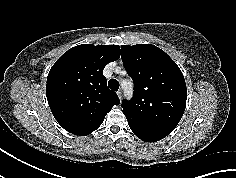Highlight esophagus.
<instances>
[{
    "label": "esophagus",
    "mask_w": 236,
    "mask_h": 178,
    "mask_svg": "<svg viewBox=\"0 0 236 178\" xmlns=\"http://www.w3.org/2000/svg\"><path fill=\"white\" fill-rule=\"evenodd\" d=\"M117 96L121 100L122 99V92L121 91H117Z\"/></svg>",
    "instance_id": "esophagus-1"
}]
</instances>
